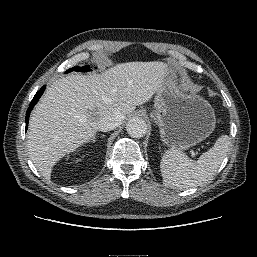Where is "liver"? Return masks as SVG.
Masks as SVG:
<instances>
[{"instance_id": "6515ba94", "label": "liver", "mask_w": 257, "mask_h": 257, "mask_svg": "<svg viewBox=\"0 0 257 257\" xmlns=\"http://www.w3.org/2000/svg\"><path fill=\"white\" fill-rule=\"evenodd\" d=\"M167 74L163 62H127L102 74H72L53 82L34 108L27 147L38 171L50 179L55 163L89 142L104 115L132 113L156 94Z\"/></svg>"}]
</instances>
